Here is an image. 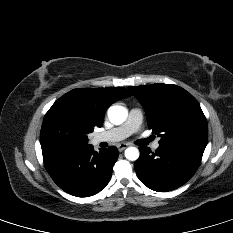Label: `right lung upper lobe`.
I'll return each mask as SVG.
<instances>
[{"instance_id":"right-lung-upper-lobe-1","label":"right lung upper lobe","mask_w":233,"mask_h":233,"mask_svg":"<svg viewBox=\"0 0 233 233\" xmlns=\"http://www.w3.org/2000/svg\"><path fill=\"white\" fill-rule=\"evenodd\" d=\"M130 95L123 87L78 88L60 97L53 105H62L94 129L103 125L105 111L112 103Z\"/></svg>"}]
</instances>
